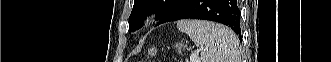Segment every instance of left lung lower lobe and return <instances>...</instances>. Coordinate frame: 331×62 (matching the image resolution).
I'll return each instance as SVG.
<instances>
[{
  "mask_svg": "<svg viewBox=\"0 0 331 62\" xmlns=\"http://www.w3.org/2000/svg\"><path fill=\"white\" fill-rule=\"evenodd\" d=\"M240 14L237 0H185L167 22L185 18L215 21L241 37ZM142 25L138 24L136 29Z\"/></svg>",
  "mask_w": 331,
  "mask_h": 62,
  "instance_id": "1",
  "label": "left lung lower lobe"
}]
</instances>
